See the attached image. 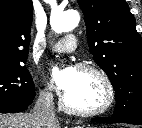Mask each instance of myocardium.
<instances>
[{
    "label": "myocardium",
    "instance_id": "myocardium-1",
    "mask_svg": "<svg viewBox=\"0 0 142 128\" xmlns=\"http://www.w3.org/2000/svg\"><path fill=\"white\" fill-rule=\"evenodd\" d=\"M77 70L83 71V72L94 73L101 79V81L103 82V84L105 86V90H106L105 101L100 107H98L96 109L85 110V109H80V108L70 105L67 102L65 95H64L60 101L61 107L70 113L84 116V117L98 116V115L104 114L107 111H109L115 102V89H114L113 83H112L111 79L109 78V76L107 75V73L103 69H101L100 67H98L96 65H92V64H87V63L78 64Z\"/></svg>",
    "mask_w": 142,
    "mask_h": 128
}]
</instances>
